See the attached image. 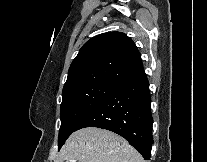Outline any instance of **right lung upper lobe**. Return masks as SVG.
Listing matches in <instances>:
<instances>
[{"instance_id": "obj_1", "label": "right lung upper lobe", "mask_w": 207, "mask_h": 162, "mask_svg": "<svg viewBox=\"0 0 207 162\" xmlns=\"http://www.w3.org/2000/svg\"><path fill=\"white\" fill-rule=\"evenodd\" d=\"M143 70L134 42L121 32H109L91 38L73 60L63 92L83 86H117Z\"/></svg>"}]
</instances>
